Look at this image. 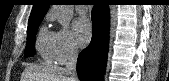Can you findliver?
I'll use <instances>...</instances> for the list:
<instances>
[{
  "label": "liver",
  "mask_w": 169,
  "mask_h": 81,
  "mask_svg": "<svg viewBox=\"0 0 169 81\" xmlns=\"http://www.w3.org/2000/svg\"><path fill=\"white\" fill-rule=\"evenodd\" d=\"M21 81H71L62 67H26Z\"/></svg>",
  "instance_id": "obj_1"
}]
</instances>
